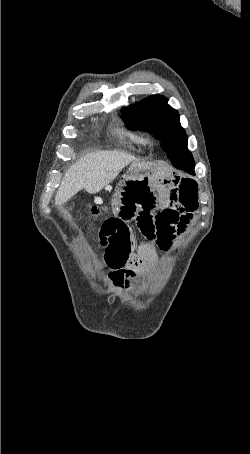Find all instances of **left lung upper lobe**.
<instances>
[{
	"mask_svg": "<svg viewBox=\"0 0 250 454\" xmlns=\"http://www.w3.org/2000/svg\"><path fill=\"white\" fill-rule=\"evenodd\" d=\"M121 118L127 128L153 134L161 141V147L168 157L190 153L187 148L188 137L181 127L179 114L167 104L164 96L153 95L136 105L123 108Z\"/></svg>",
	"mask_w": 250,
	"mask_h": 454,
	"instance_id": "left-lung-upper-lobe-1",
	"label": "left lung upper lobe"
}]
</instances>
